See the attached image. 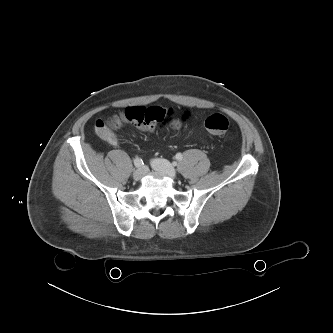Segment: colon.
<instances>
[{"label":"colon","mask_w":333,"mask_h":333,"mask_svg":"<svg viewBox=\"0 0 333 333\" xmlns=\"http://www.w3.org/2000/svg\"><path fill=\"white\" fill-rule=\"evenodd\" d=\"M122 122H124L123 114L112 115L106 119L97 120L94 126L95 132L101 138L108 140L113 131L117 129ZM170 125L172 128H178L180 122L178 120H171ZM205 128L211 135H223L229 128V120L222 114H212L205 120Z\"/></svg>","instance_id":"1"}]
</instances>
